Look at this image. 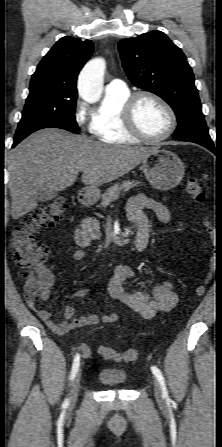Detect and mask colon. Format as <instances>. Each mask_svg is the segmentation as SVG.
<instances>
[{
  "label": "colon",
  "mask_w": 222,
  "mask_h": 447,
  "mask_svg": "<svg viewBox=\"0 0 222 447\" xmlns=\"http://www.w3.org/2000/svg\"><path fill=\"white\" fill-rule=\"evenodd\" d=\"M186 192L195 202L204 200L202 185L195 178H190L186 185ZM67 208L65 198H56L49 201L35 212L25 216L16 227L12 241V259L20 270V276L24 280V294L27 302H37L42 294L45 284L50 279L49 271L43 263L49 256L48 246L35 236L36 232L53 226L61 221ZM204 225L209 235L213 238L216 234L214 223L205 218ZM216 268V257L212 253L208 263L206 282ZM205 292V285L196 289V295L201 297ZM98 353L105 359L115 362H134L138 358V350L130 348L124 352H118L107 346H100Z\"/></svg>",
  "instance_id": "5ec220e1"
}]
</instances>
